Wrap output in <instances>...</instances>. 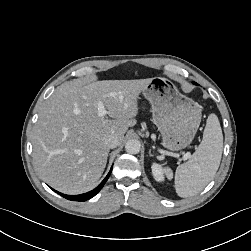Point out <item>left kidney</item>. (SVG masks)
<instances>
[{
    "label": "left kidney",
    "mask_w": 251,
    "mask_h": 251,
    "mask_svg": "<svg viewBox=\"0 0 251 251\" xmlns=\"http://www.w3.org/2000/svg\"><path fill=\"white\" fill-rule=\"evenodd\" d=\"M151 169H152L153 177L156 181L158 182L164 181V175H163L164 170L160 164L153 163L151 166Z\"/></svg>",
    "instance_id": "obj_1"
}]
</instances>
